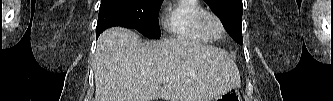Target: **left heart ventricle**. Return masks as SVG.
I'll return each mask as SVG.
<instances>
[{"mask_svg": "<svg viewBox=\"0 0 333 101\" xmlns=\"http://www.w3.org/2000/svg\"><path fill=\"white\" fill-rule=\"evenodd\" d=\"M208 25L213 34L219 35L220 28H219L218 23L214 19L210 18L208 21Z\"/></svg>", "mask_w": 333, "mask_h": 101, "instance_id": "obj_1", "label": "left heart ventricle"}]
</instances>
